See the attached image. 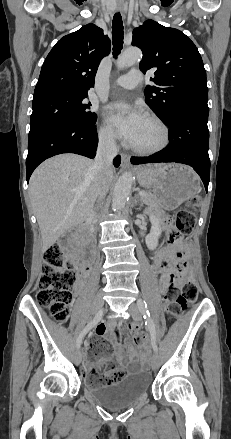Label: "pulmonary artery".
<instances>
[{
    "instance_id": "1",
    "label": "pulmonary artery",
    "mask_w": 231,
    "mask_h": 439,
    "mask_svg": "<svg viewBox=\"0 0 231 439\" xmlns=\"http://www.w3.org/2000/svg\"><path fill=\"white\" fill-rule=\"evenodd\" d=\"M142 81V74L139 70H133L128 72L127 74L121 75L118 77L113 85L114 87H120L124 89H134L136 88Z\"/></svg>"
}]
</instances>
